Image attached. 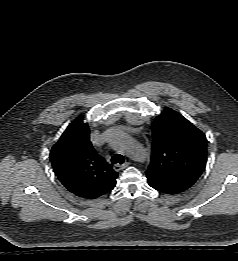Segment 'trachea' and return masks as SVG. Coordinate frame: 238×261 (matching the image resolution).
<instances>
[{"label": "trachea", "mask_w": 238, "mask_h": 261, "mask_svg": "<svg viewBox=\"0 0 238 261\" xmlns=\"http://www.w3.org/2000/svg\"><path fill=\"white\" fill-rule=\"evenodd\" d=\"M111 162H112V164H117V163L123 164L124 163V157L120 154H115V155L112 156Z\"/></svg>", "instance_id": "trachea-1"}]
</instances>
